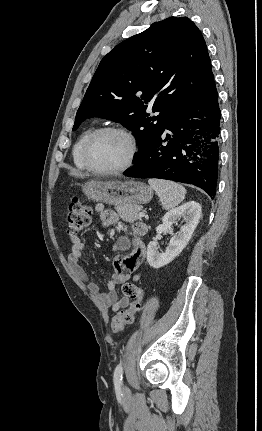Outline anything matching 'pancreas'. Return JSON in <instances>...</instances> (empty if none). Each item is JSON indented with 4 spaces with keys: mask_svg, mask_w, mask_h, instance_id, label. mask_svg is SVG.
<instances>
[{
    "mask_svg": "<svg viewBox=\"0 0 262 431\" xmlns=\"http://www.w3.org/2000/svg\"><path fill=\"white\" fill-rule=\"evenodd\" d=\"M141 210V206L119 205L116 207L119 216L126 222H134L140 219L139 212Z\"/></svg>",
    "mask_w": 262,
    "mask_h": 431,
    "instance_id": "pancreas-1",
    "label": "pancreas"
}]
</instances>
